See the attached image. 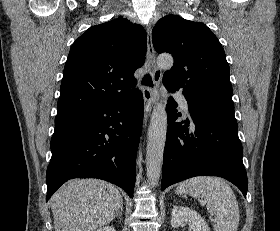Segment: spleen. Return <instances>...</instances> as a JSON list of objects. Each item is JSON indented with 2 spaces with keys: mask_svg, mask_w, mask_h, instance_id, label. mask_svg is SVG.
Listing matches in <instances>:
<instances>
[{
  "mask_svg": "<svg viewBox=\"0 0 280 231\" xmlns=\"http://www.w3.org/2000/svg\"><path fill=\"white\" fill-rule=\"evenodd\" d=\"M176 193H189L192 197H201L202 203L213 213L214 231H237L239 223L238 201L230 185L221 177L199 175L179 183Z\"/></svg>",
  "mask_w": 280,
  "mask_h": 231,
  "instance_id": "3e777b00",
  "label": "spleen"
}]
</instances>
